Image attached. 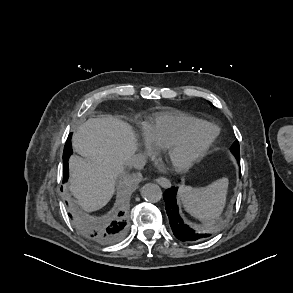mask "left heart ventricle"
Wrapping results in <instances>:
<instances>
[{
    "label": "left heart ventricle",
    "mask_w": 293,
    "mask_h": 293,
    "mask_svg": "<svg viewBox=\"0 0 293 293\" xmlns=\"http://www.w3.org/2000/svg\"><path fill=\"white\" fill-rule=\"evenodd\" d=\"M211 133V130L206 127H201L193 131L190 137V147H195L201 144Z\"/></svg>",
    "instance_id": "obj_1"
}]
</instances>
